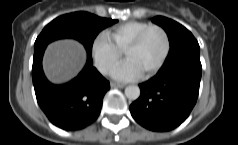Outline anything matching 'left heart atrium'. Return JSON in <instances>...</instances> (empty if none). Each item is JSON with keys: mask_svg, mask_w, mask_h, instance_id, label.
<instances>
[{"mask_svg": "<svg viewBox=\"0 0 238 145\" xmlns=\"http://www.w3.org/2000/svg\"><path fill=\"white\" fill-rule=\"evenodd\" d=\"M141 75L140 70L129 60H126L112 72L113 78L119 81H132Z\"/></svg>", "mask_w": 238, "mask_h": 145, "instance_id": "1", "label": "left heart atrium"}]
</instances>
